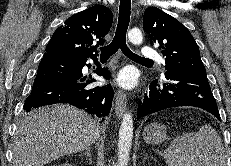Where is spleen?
Returning a JSON list of instances; mask_svg holds the SVG:
<instances>
[{"mask_svg":"<svg viewBox=\"0 0 231 166\" xmlns=\"http://www.w3.org/2000/svg\"><path fill=\"white\" fill-rule=\"evenodd\" d=\"M163 157L168 166H227L221 138L209 125H203L197 132L177 136Z\"/></svg>","mask_w":231,"mask_h":166,"instance_id":"3e777b00","label":"spleen"}]
</instances>
